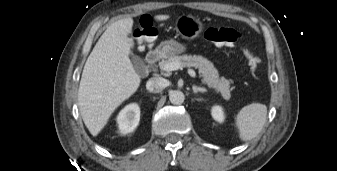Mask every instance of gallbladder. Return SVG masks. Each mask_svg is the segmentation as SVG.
Wrapping results in <instances>:
<instances>
[{
  "label": "gallbladder",
  "mask_w": 337,
  "mask_h": 171,
  "mask_svg": "<svg viewBox=\"0 0 337 171\" xmlns=\"http://www.w3.org/2000/svg\"><path fill=\"white\" fill-rule=\"evenodd\" d=\"M133 61L137 70H142L144 68V62L140 57L133 55Z\"/></svg>",
  "instance_id": "gallbladder-1"
}]
</instances>
